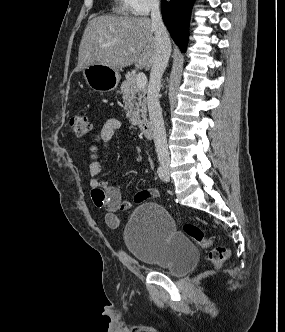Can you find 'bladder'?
I'll use <instances>...</instances> for the list:
<instances>
[{"label": "bladder", "mask_w": 285, "mask_h": 332, "mask_svg": "<svg viewBox=\"0 0 285 332\" xmlns=\"http://www.w3.org/2000/svg\"><path fill=\"white\" fill-rule=\"evenodd\" d=\"M123 239L133 258L171 275L185 274L198 261L196 246L175 229L171 214L156 203H142L133 210Z\"/></svg>", "instance_id": "1"}]
</instances>
